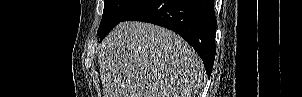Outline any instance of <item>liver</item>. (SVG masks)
<instances>
[{
  "label": "liver",
  "mask_w": 302,
  "mask_h": 97,
  "mask_svg": "<svg viewBox=\"0 0 302 97\" xmlns=\"http://www.w3.org/2000/svg\"><path fill=\"white\" fill-rule=\"evenodd\" d=\"M103 97H196L204 66L179 35L150 23L121 22L98 53Z\"/></svg>",
  "instance_id": "liver-1"
}]
</instances>
